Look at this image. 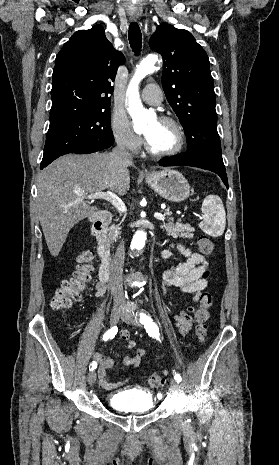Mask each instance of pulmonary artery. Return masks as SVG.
Returning a JSON list of instances; mask_svg holds the SVG:
<instances>
[{
  "instance_id": "e3ab8cb5",
  "label": "pulmonary artery",
  "mask_w": 279,
  "mask_h": 465,
  "mask_svg": "<svg viewBox=\"0 0 279 465\" xmlns=\"http://www.w3.org/2000/svg\"><path fill=\"white\" fill-rule=\"evenodd\" d=\"M141 96L146 103L151 105H158L163 99L162 92L156 84L146 85Z\"/></svg>"
}]
</instances>
